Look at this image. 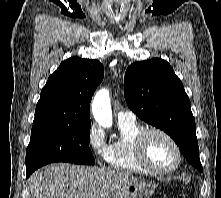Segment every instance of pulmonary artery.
I'll use <instances>...</instances> for the list:
<instances>
[{"label":"pulmonary artery","instance_id":"pulmonary-artery-1","mask_svg":"<svg viewBox=\"0 0 221 198\" xmlns=\"http://www.w3.org/2000/svg\"><path fill=\"white\" fill-rule=\"evenodd\" d=\"M118 121L122 122V121H134L136 116L135 114L130 111V110H124V111H120L117 115Z\"/></svg>","mask_w":221,"mask_h":198}]
</instances>
